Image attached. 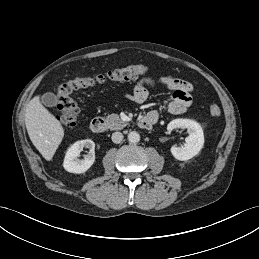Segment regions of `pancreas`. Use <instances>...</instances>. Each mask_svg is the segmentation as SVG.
Here are the masks:
<instances>
[{
  "mask_svg": "<svg viewBox=\"0 0 259 259\" xmlns=\"http://www.w3.org/2000/svg\"><path fill=\"white\" fill-rule=\"evenodd\" d=\"M107 126L110 130H121L128 125L122 121L118 114H110L106 117Z\"/></svg>",
  "mask_w": 259,
  "mask_h": 259,
  "instance_id": "cf45deb5",
  "label": "pancreas"
}]
</instances>
